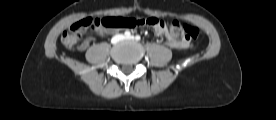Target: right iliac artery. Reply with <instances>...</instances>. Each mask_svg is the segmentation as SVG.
Listing matches in <instances>:
<instances>
[{"label":"right iliac artery","mask_w":276,"mask_h":120,"mask_svg":"<svg viewBox=\"0 0 276 120\" xmlns=\"http://www.w3.org/2000/svg\"><path fill=\"white\" fill-rule=\"evenodd\" d=\"M124 35H125L126 38H128V37L131 36V33H130V31H125Z\"/></svg>","instance_id":"right-iliac-artery-1"}]
</instances>
